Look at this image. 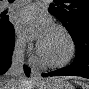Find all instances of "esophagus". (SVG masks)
Returning <instances> with one entry per match:
<instances>
[{"mask_svg":"<svg viewBox=\"0 0 89 89\" xmlns=\"http://www.w3.org/2000/svg\"><path fill=\"white\" fill-rule=\"evenodd\" d=\"M31 77L33 80H38L39 79V73L37 70L32 69Z\"/></svg>","mask_w":89,"mask_h":89,"instance_id":"obj_1","label":"esophagus"}]
</instances>
